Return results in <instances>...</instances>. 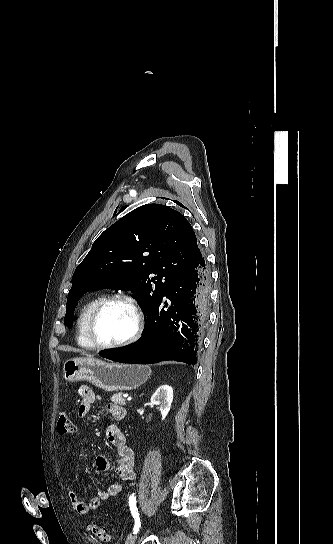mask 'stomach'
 <instances>
[{"instance_id":"obj_1","label":"stomach","mask_w":333,"mask_h":544,"mask_svg":"<svg viewBox=\"0 0 333 544\" xmlns=\"http://www.w3.org/2000/svg\"><path fill=\"white\" fill-rule=\"evenodd\" d=\"M150 374L147 365L107 363L95 358H73L63 365L66 381L86 380L105 391L135 389L144 384Z\"/></svg>"}]
</instances>
